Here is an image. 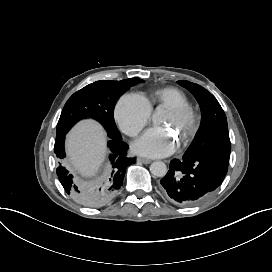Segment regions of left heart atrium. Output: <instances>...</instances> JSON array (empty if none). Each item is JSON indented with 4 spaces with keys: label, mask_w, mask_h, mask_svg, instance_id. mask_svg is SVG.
Wrapping results in <instances>:
<instances>
[{
    "label": "left heart atrium",
    "mask_w": 272,
    "mask_h": 272,
    "mask_svg": "<svg viewBox=\"0 0 272 272\" xmlns=\"http://www.w3.org/2000/svg\"><path fill=\"white\" fill-rule=\"evenodd\" d=\"M140 153L150 156H167L176 149L173 134L167 129L151 128L135 146Z\"/></svg>",
    "instance_id": "39dd6f15"
}]
</instances>
